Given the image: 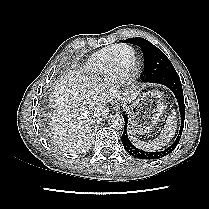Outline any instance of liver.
Returning <instances> with one entry per match:
<instances>
[{
	"label": "liver",
	"mask_w": 209,
	"mask_h": 209,
	"mask_svg": "<svg viewBox=\"0 0 209 209\" xmlns=\"http://www.w3.org/2000/svg\"><path fill=\"white\" fill-rule=\"evenodd\" d=\"M106 87L78 71H70L56 82L51 93L54 110L50 128L62 151L81 153L88 149L91 124L101 115L96 112L97 109L104 108L105 103L111 102L115 97L120 98L117 89ZM124 95H129L127 99L134 100L138 92L132 88ZM106 114L107 110L103 112V115Z\"/></svg>",
	"instance_id": "6515ba94"
}]
</instances>
